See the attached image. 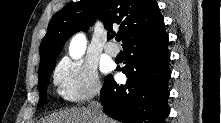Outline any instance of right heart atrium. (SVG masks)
<instances>
[{
    "mask_svg": "<svg viewBox=\"0 0 221 123\" xmlns=\"http://www.w3.org/2000/svg\"><path fill=\"white\" fill-rule=\"evenodd\" d=\"M53 80L61 97L72 105L89 101L101 91L96 66L82 60H61L54 70Z\"/></svg>",
    "mask_w": 221,
    "mask_h": 123,
    "instance_id": "obj_1",
    "label": "right heart atrium"
}]
</instances>
